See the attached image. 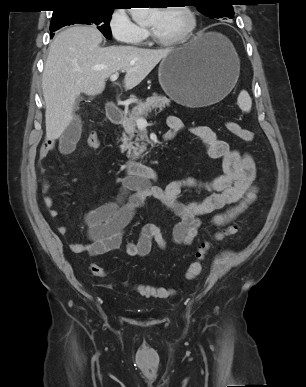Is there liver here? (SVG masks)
<instances>
[{
    "label": "liver",
    "mask_w": 306,
    "mask_h": 387,
    "mask_svg": "<svg viewBox=\"0 0 306 387\" xmlns=\"http://www.w3.org/2000/svg\"><path fill=\"white\" fill-rule=\"evenodd\" d=\"M101 42L102 34L95 27L74 26L60 32L51 43L42 75L48 140L55 141L69 126L80 93H102L106 80L118 71L126 72L124 87L131 90L174 50L101 47Z\"/></svg>",
    "instance_id": "6515ba94"
}]
</instances>
